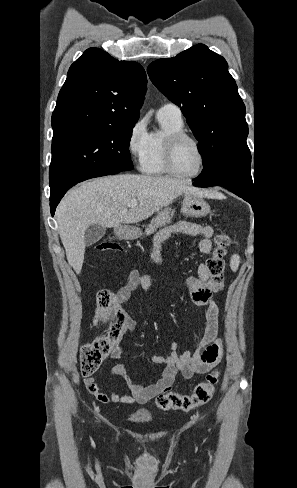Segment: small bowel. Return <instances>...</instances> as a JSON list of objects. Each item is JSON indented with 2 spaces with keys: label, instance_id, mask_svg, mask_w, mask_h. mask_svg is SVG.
Listing matches in <instances>:
<instances>
[{
  "label": "small bowel",
  "instance_id": "obj_1",
  "mask_svg": "<svg viewBox=\"0 0 297 488\" xmlns=\"http://www.w3.org/2000/svg\"><path fill=\"white\" fill-rule=\"evenodd\" d=\"M182 233L198 237L197 248L202 254H208L211 250V237L213 229L210 226H201L191 222H178L159 230L152 244L151 257L156 264L165 263L166 259L161 253V246L172 234ZM150 275H142L137 271L130 273L128 281L123 285L115 296L118 306L127 303L138 288L149 290L152 288ZM188 295L192 302L206 307L205 327L201 335L200 343L194 351H183L179 353V344H170V353L164 355H152L153 362L162 366L158 378L148 385H141L135 382L127 370L125 363H117L111 369L113 374L121 376L130 392V395L122 392H113L107 389L100 392L99 385L94 376L85 377L84 383L89 393L104 404L117 403L131 405L133 403L144 404L172 389L178 375L189 379L196 375L204 374L216 365L221 352V344L218 337L219 330V308L215 296L222 289V283L213 282L208 273L207 265L202 263L196 275L187 278ZM95 324L106 323V320L98 314L94 317ZM136 327V320L126 312H123V333L133 331ZM122 336L116 342L112 351V357L119 359L121 355Z\"/></svg>",
  "mask_w": 297,
  "mask_h": 488
}]
</instances>
